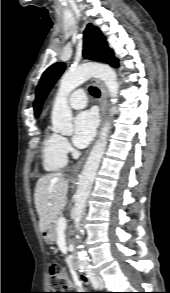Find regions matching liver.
<instances>
[{"instance_id": "6515ba94", "label": "liver", "mask_w": 170, "mask_h": 293, "mask_svg": "<svg viewBox=\"0 0 170 293\" xmlns=\"http://www.w3.org/2000/svg\"><path fill=\"white\" fill-rule=\"evenodd\" d=\"M68 187V179L62 173L47 174L37 181L34 200L42 233L51 227V223L66 206Z\"/></svg>"}]
</instances>
